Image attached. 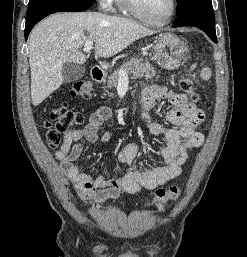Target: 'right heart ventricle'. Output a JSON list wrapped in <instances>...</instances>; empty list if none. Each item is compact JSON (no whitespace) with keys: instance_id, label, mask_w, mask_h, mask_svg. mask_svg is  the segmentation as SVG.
Returning <instances> with one entry per match:
<instances>
[{"instance_id":"e07e8e85","label":"right heart ventricle","mask_w":247,"mask_h":257,"mask_svg":"<svg viewBox=\"0 0 247 257\" xmlns=\"http://www.w3.org/2000/svg\"><path fill=\"white\" fill-rule=\"evenodd\" d=\"M116 3H117L118 7H119L121 10H125V7H124V4H123V1H122V0H116Z\"/></svg>"}]
</instances>
